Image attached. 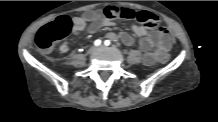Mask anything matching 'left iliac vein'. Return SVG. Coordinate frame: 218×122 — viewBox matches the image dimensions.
Instances as JSON below:
<instances>
[{
	"label": "left iliac vein",
	"instance_id": "left-iliac-vein-1",
	"mask_svg": "<svg viewBox=\"0 0 218 122\" xmlns=\"http://www.w3.org/2000/svg\"><path fill=\"white\" fill-rule=\"evenodd\" d=\"M103 48H105V46H104V45H101V46H99L98 49H103Z\"/></svg>",
	"mask_w": 218,
	"mask_h": 122
}]
</instances>
